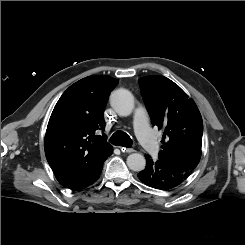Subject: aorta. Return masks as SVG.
Listing matches in <instances>:
<instances>
[{
  "mask_svg": "<svg viewBox=\"0 0 245 245\" xmlns=\"http://www.w3.org/2000/svg\"><path fill=\"white\" fill-rule=\"evenodd\" d=\"M111 106L120 116H129L134 109L133 95L125 89L114 91L110 98ZM127 165L133 171H142L146 160L142 154L133 153L127 157Z\"/></svg>",
  "mask_w": 245,
  "mask_h": 245,
  "instance_id": "762f6f07",
  "label": "aorta"
}]
</instances>
